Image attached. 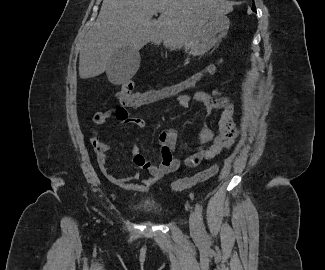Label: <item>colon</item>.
I'll use <instances>...</instances> for the list:
<instances>
[{"mask_svg":"<svg viewBox=\"0 0 325 270\" xmlns=\"http://www.w3.org/2000/svg\"><path fill=\"white\" fill-rule=\"evenodd\" d=\"M221 63V59L210 62L202 69L195 71L177 83L159 88H152L142 92H134L133 83L131 81H124L119 85L117 98L122 105L134 108L176 99L178 96L185 94L186 91L194 88L204 77L215 73ZM217 172V166H211L192 177H184L176 180L172 183V189L179 192L191 188L213 177Z\"/></svg>","mask_w":325,"mask_h":270,"instance_id":"5ec220e1","label":"colon"}]
</instances>
